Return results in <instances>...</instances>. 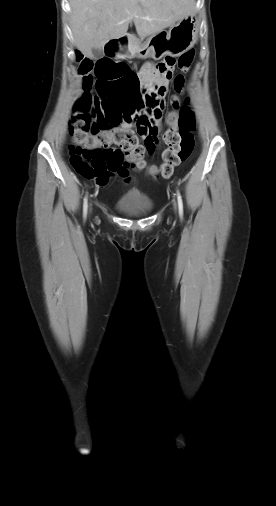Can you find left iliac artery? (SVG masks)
<instances>
[{"instance_id":"obj_1","label":"left iliac artery","mask_w":276,"mask_h":506,"mask_svg":"<svg viewBox=\"0 0 276 506\" xmlns=\"http://www.w3.org/2000/svg\"><path fill=\"white\" fill-rule=\"evenodd\" d=\"M177 200H178V208H179V214L182 217L183 215V202L182 198L179 192H177Z\"/></svg>"}]
</instances>
